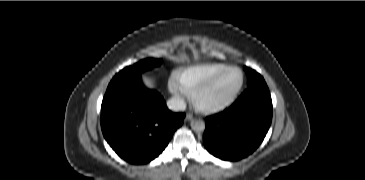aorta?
Returning a JSON list of instances; mask_svg holds the SVG:
<instances>
[{
    "mask_svg": "<svg viewBox=\"0 0 365 180\" xmlns=\"http://www.w3.org/2000/svg\"><path fill=\"white\" fill-rule=\"evenodd\" d=\"M191 128L196 132H202L205 129V122L202 120H193L191 122Z\"/></svg>",
    "mask_w": 365,
    "mask_h": 180,
    "instance_id": "762f6f07",
    "label": "aorta"
}]
</instances>
